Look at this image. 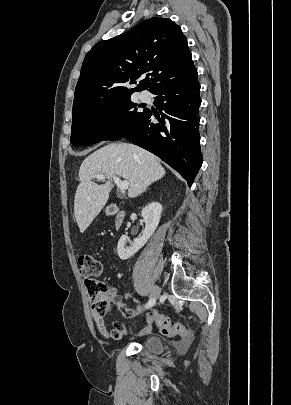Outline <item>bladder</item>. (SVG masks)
<instances>
[{"label":"bladder","instance_id":"bladder-1","mask_svg":"<svg viewBox=\"0 0 291 405\" xmlns=\"http://www.w3.org/2000/svg\"><path fill=\"white\" fill-rule=\"evenodd\" d=\"M141 345L144 350L151 354H160L164 350L163 342L156 336H149L145 338Z\"/></svg>","mask_w":291,"mask_h":405}]
</instances>
